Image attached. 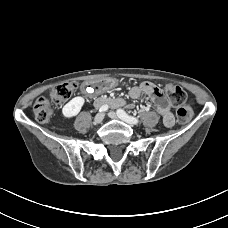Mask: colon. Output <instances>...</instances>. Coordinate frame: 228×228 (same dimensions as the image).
I'll list each match as a JSON object with an SVG mask.
<instances>
[{
	"instance_id": "5ec220e1",
	"label": "colon",
	"mask_w": 228,
	"mask_h": 228,
	"mask_svg": "<svg viewBox=\"0 0 228 228\" xmlns=\"http://www.w3.org/2000/svg\"><path fill=\"white\" fill-rule=\"evenodd\" d=\"M76 89L77 83L74 81L59 83L51 91V100L55 104H62L71 98ZM165 90L170 102L178 107V120L182 123L190 121L194 112L187 93L173 84H168ZM33 112L37 121L46 123L53 115V107L48 99L40 97L34 103Z\"/></svg>"
}]
</instances>
